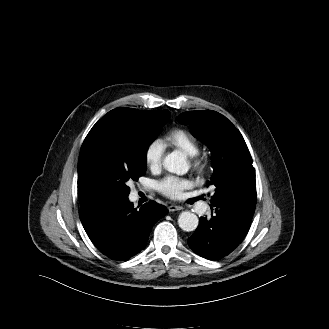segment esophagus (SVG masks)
<instances>
[{
  "label": "esophagus",
  "mask_w": 329,
  "mask_h": 329,
  "mask_svg": "<svg viewBox=\"0 0 329 329\" xmlns=\"http://www.w3.org/2000/svg\"><path fill=\"white\" fill-rule=\"evenodd\" d=\"M182 209H183V207L178 206V205H170V206L168 207V210H169L170 212L177 211V210H182Z\"/></svg>",
  "instance_id": "1"
}]
</instances>
